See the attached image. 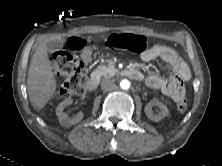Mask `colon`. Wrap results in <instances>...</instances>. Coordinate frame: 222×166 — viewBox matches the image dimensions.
<instances>
[{"mask_svg": "<svg viewBox=\"0 0 222 166\" xmlns=\"http://www.w3.org/2000/svg\"><path fill=\"white\" fill-rule=\"evenodd\" d=\"M106 46L120 48L132 52H142L146 47V38L134 34H112L106 41ZM85 42L79 38H71L67 47L71 51H79L85 47ZM51 63L56 75L63 78L60 95L64 98H71L83 95L86 88V68L84 64L75 59L69 52L58 51L52 54ZM179 111H185L187 101L181 98L177 102Z\"/></svg>", "mask_w": 222, "mask_h": 166, "instance_id": "colon-1", "label": "colon"}]
</instances>
